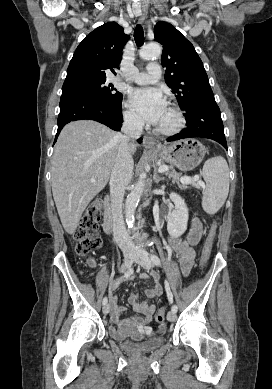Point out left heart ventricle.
I'll use <instances>...</instances> for the list:
<instances>
[{
	"label": "left heart ventricle",
	"instance_id": "obj_1",
	"mask_svg": "<svg viewBox=\"0 0 272 389\" xmlns=\"http://www.w3.org/2000/svg\"><path fill=\"white\" fill-rule=\"evenodd\" d=\"M174 121V115L171 112V110L166 107L165 112L160 119L159 123L157 124L158 127H167L170 126Z\"/></svg>",
	"mask_w": 272,
	"mask_h": 389
}]
</instances>
